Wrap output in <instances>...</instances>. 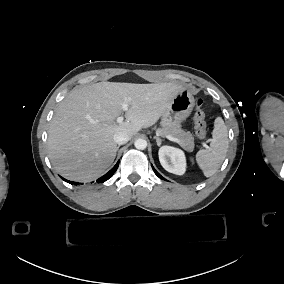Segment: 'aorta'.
Returning <instances> with one entry per match:
<instances>
[{
  "label": "aorta",
  "mask_w": 284,
  "mask_h": 284,
  "mask_svg": "<svg viewBox=\"0 0 284 284\" xmlns=\"http://www.w3.org/2000/svg\"><path fill=\"white\" fill-rule=\"evenodd\" d=\"M135 147L139 150H144L147 147V141L145 139L139 138L134 143Z\"/></svg>",
  "instance_id": "aorta-1"
}]
</instances>
